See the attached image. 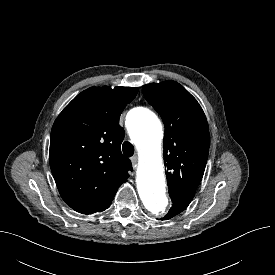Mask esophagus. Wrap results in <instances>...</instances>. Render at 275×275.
<instances>
[{
    "label": "esophagus",
    "instance_id": "esophagus-1",
    "mask_svg": "<svg viewBox=\"0 0 275 275\" xmlns=\"http://www.w3.org/2000/svg\"><path fill=\"white\" fill-rule=\"evenodd\" d=\"M131 162H132L133 167H136L137 162H138V157L136 155L132 156L131 157Z\"/></svg>",
    "mask_w": 275,
    "mask_h": 275
}]
</instances>
